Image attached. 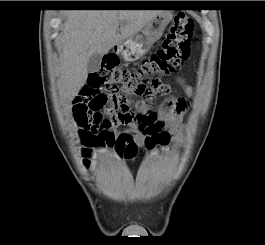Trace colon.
Instances as JSON below:
<instances>
[{"label":"colon","instance_id":"obj_1","mask_svg":"<svg viewBox=\"0 0 265 245\" xmlns=\"http://www.w3.org/2000/svg\"><path fill=\"white\" fill-rule=\"evenodd\" d=\"M194 27L193 18L184 13L178 14L161 47L135 70L120 68L119 59L114 54L106 56L105 62L88 77L89 86L101 98L97 104L92 105L91 112L81 118L84 124L79 133L82 145L91 147L104 140L106 147L117 150L122 156H132L133 150L116 142L112 133L101 130V126L113 122L120 125L133 123L146 137L148 148L155 142L165 145L169 141L170 133L164 121L152 110V105L156 98L166 93L160 78L177 74L188 60ZM123 91L141 100L146 106L145 111L135 114L128 100L121 95ZM108 111H115L116 115L108 117L105 115Z\"/></svg>","mask_w":265,"mask_h":245}]
</instances>
